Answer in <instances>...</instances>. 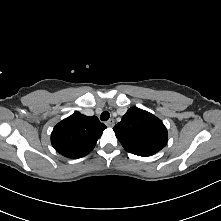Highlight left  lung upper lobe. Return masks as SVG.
<instances>
[{
  "mask_svg": "<svg viewBox=\"0 0 221 221\" xmlns=\"http://www.w3.org/2000/svg\"><path fill=\"white\" fill-rule=\"evenodd\" d=\"M124 149L138 156H151L160 151L168 141L167 129L153 114L130 108L121 122L113 128Z\"/></svg>",
  "mask_w": 221,
  "mask_h": 221,
  "instance_id": "5c2ea615",
  "label": "left lung upper lobe"
}]
</instances>
